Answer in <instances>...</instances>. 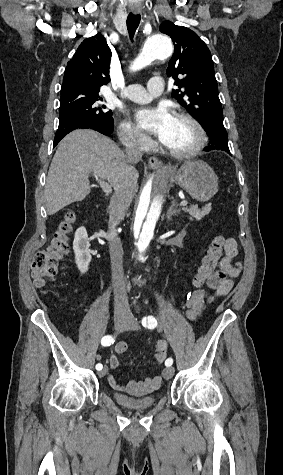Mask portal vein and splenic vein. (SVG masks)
Here are the masks:
<instances>
[{
	"mask_svg": "<svg viewBox=\"0 0 283 475\" xmlns=\"http://www.w3.org/2000/svg\"><path fill=\"white\" fill-rule=\"evenodd\" d=\"M99 182H100V180H99ZM100 186H101L103 192H106V194H110V192H112L111 186H109V184H105V182H100ZM180 206H187L186 200H183V202H181Z\"/></svg>",
	"mask_w": 283,
	"mask_h": 475,
	"instance_id": "obj_1",
	"label": "portal vein and splenic vein"
}]
</instances>
